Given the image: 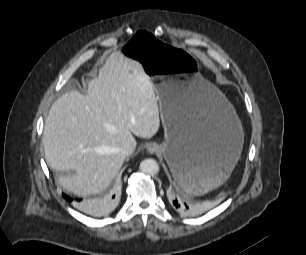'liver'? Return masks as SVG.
<instances>
[{
	"instance_id": "1",
	"label": "liver",
	"mask_w": 306,
	"mask_h": 255,
	"mask_svg": "<svg viewBox=\"0 0 306 255\" xmlns=\"http://www.w3.org/2000/svg\"><path fill=\"white\" fill-rule=\"evenodd\" d=\"M159 105L142 65L112 53L88 91L76 90L51 106L43 131L47 163L62 174L60 185L79 196L105 190L125 157L120 148L136 147L133 134L152 138L159 130Z\"/></svg>"
}]
</instances>
